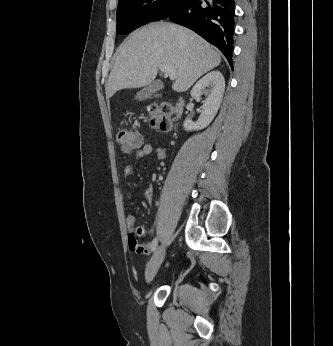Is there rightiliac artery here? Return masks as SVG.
<instances>
[{
  "instance_id": "right-iliac-artery-1",
  "label": "right iliac artery",
  "mask_w": 333,
  "mask_h": 346,
  "mask_svg": "<svg viewBox=\"0 0 333 346\" xmlns=\"http://www.w3.org/2000/svg\"><path fill=\"white\" fill-rule=\"evenodd\" d=\"M157 245H158V239L154 238L153 241H152V245H151V251L152 252H154L156 250Z\"/></svg>"
}]
</instances>
